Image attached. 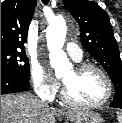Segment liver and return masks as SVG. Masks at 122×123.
Returning <instances> with one entry per match:
<instances>
[{"instance_id": "6515ba94", "label": "liver", "mask_w": 122, "mask_h": 123, "mask_svg": "<svg viewBox=\"0 0 122 123\" xmlns=\"http://www.w3.org/2000/svg\"><path fill=\"white\" fill-rule=\"evenodd\" d=\"M56 113L75 121L85 112L50 107L30 93L1 96V123H55Z\"/></svg>"}]
</instances>
